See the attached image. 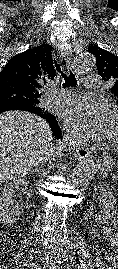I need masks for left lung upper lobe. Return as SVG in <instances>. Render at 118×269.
Instances as JSON below:
<instances>
[{
    "instance_id": "left-lung-upper-lobe-1",
    "label": "left lung upper lobe",
    "mask_w": 118,
    "mask_h": 269,
    "mask_svg": "<svg viewBox=\"0 0 118 269\" xmlns=\"http://www.w3.org/2000/svg\"><path fill=\"white\" fill-rule=\"evenodd\" d=\"M88 51L96 57L98 74L112 86L111 93L118 97V57L97 45L89 46Z\"/></svg>"
}]
</instances>
